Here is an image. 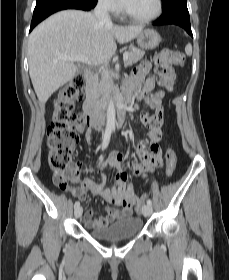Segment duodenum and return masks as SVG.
<instances>
[{"label":"duodenum","mask_w":229,"mask_h":280,"mask_svg":"<svg viewBox=\"0 0 229 280\" xmlns=\"http://www.w3.org/2000/svg\"><path fill=\"white\" fill-rule=\"evenodd\" d=\"M84 79L88 83V95L83 102V110L86 115V121L90 127H97L100 124V108L94 96V83L95 74L92 71H86L83 73ZM128 106V98L125 93L122 94L117 107V126L121 127L126 121V110Z\"/></svg>","instance_id":"duodenum-1"}]
</instances>
